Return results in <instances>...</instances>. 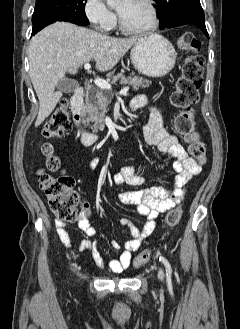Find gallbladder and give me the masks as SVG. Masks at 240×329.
Returning <instances> with one entry per match:
<instances>
[{
  "label": "gallbladder",
  "instance_id": "bac80fb5",
  "mask_svg": "<svg viewBox=\"0 0 240 329\" xmlns=\"http://www.w3.org/2000/svg\"><path fill=\"white\" fill-rule=\"evenodd\" d=\"M56 87L63 93H71L79 87V83L74 79L63 78L58 82Z\"/></svg>",
  "mask_w": 240,
  "mask_h": 329
}]
</instances>
